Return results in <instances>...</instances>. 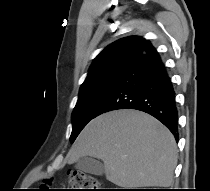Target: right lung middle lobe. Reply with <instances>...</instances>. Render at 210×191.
Wrapping results in <instances>:
<instances>
[{
	"label": "right lung middle lobe",
	"instance_id": "1",
	"mask_svg": "<svg viewBox=\"0 0 210 191\" xmlns=\"http://www.w3.org/2000/svg\"><path fill=\"white\" fill-rule=\"evenodd\" d=\"M130 59L129 56H119L88 73L80 87L79 98L72 113L71 143L85 125L96 117L100 104L112 90Z\"/></svg>",
	"mask_w": 210,
	"mask_h": 191
}]
</instances>
